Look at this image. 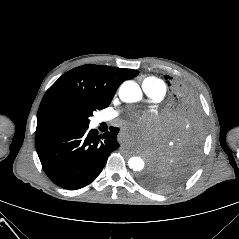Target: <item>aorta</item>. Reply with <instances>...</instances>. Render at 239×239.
Segmentation results:
<instances>
[{"mask_svg":"<svg viewBox=\"0 0 239 239\" xmlns=\"http://www.w3.org/2000/svg\"><path fill=\"white\" fill-rule=\"evenodd\" d=\"M119 97L124 102H137L142 98V91L139 85L134 81H125L119 89ZM128 165L133 171L143 170L145 163L140 157H131Z\"/></svg>","mask_w":239,"mask_h":239,"instance_id":"obj_1","label":"aorta"}]
</instances>
